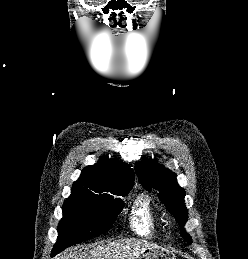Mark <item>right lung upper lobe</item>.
<instances>
[{"label": "right lung upper lobe", "instance_id": "cb5924a9", "mask_svg": "<svg viewBox=\"0 0 248 259\" xmlns=\"http://www.w3.org/2000/svg\"><path fill=\"white\" fill-rule=\"evenodd\" d=\"M134 177L128 164L102 157L96 164L83 169L72 191L113 193L128 190L133 185Z\"/></svg>", "mask_w": 248, "mask_h": 259}]
</instances>
